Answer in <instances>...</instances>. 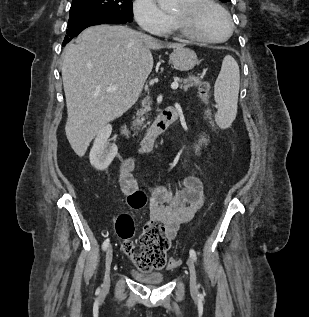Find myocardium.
<instances>
[{"mask_svg":"<svg viewBox=\"0 0 309 317\" xmlns=\"http://www.w3.org/2000/svg\"><path fill=\"white\" fill-rule=\"evenodd\" d=\"M206 8L218 10L226 19L228 32L224 37L212 38L195 32L188 24V19L194 17ZM173 23L176 30L183 37L200 43H222L227 41L234 31V24L229 12L218 2L214 0H188L183 3V12L180 15H173Z\"/></svg>","mask_w":309,"mask_h":317,"instance_id":"1","label":"myocardium"}]
</instances>
